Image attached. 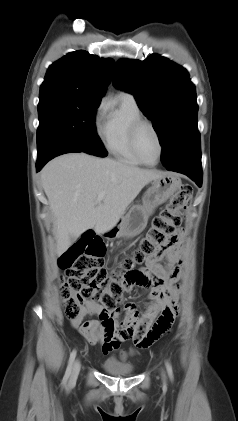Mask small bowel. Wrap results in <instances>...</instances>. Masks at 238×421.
<instances>
[{
    "mask_svg": "<svg viewBox=\"0 0 238 421\" xmlns=\"http://www.w3.org/2000/svg\"><path fill=\"white\" fill-rule=\"evenodd\" d=\"M182 264V236L177 233L170 245L147 261L146 268L129 273L130 289H145L152 301L145 313L141 315L135 303L127 302L124 305L126 315L120 324L113 321L108 325L100 319L85 320L102 312L98 304L85 302L82 314L71 320L72 327L90 344L100 345L104 354L117 350L126 340H133L140 348L150 346L153 342L142 344L147 335L171 325L177 311Z\"/></svg>",
    "mask_w": 238,
    "mask_h": 421,
    "instance_id": "1",
    "label": "small bowel"
}]
</instances>
